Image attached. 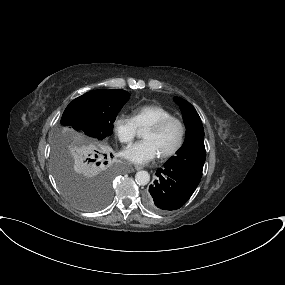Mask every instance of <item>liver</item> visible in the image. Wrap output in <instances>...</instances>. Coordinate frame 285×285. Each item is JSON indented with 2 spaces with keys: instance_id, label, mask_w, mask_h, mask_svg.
Returning a JSON list of instances; mask_svg holds the SVG:
<instances>
[{
  "instance_id": "liver-1",
  "label": "liver",
  "mask_w": 285,
  "mask_h": 285,
  "mask_svg": "<svg viewBox=\"0 0 285 285\" xmlns=\"http://www.w3.org/2000/svg\"><path fill=\"white\" fill-rule=\"evenodd\" d=\"M80 142H82V141H81V140H77V141H76V143H80Z\"/></svg>"
}]
</instances>
